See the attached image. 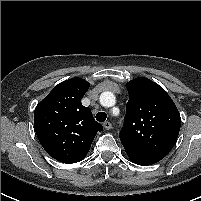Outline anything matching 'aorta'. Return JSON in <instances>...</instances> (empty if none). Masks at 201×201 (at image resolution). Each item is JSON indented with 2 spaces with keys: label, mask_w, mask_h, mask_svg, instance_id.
<instances>
[{
  "label": "aorta",
  "mask_w": 201,
  "mask_h": 201,
  "mask_svg": "<svg viewBox=\"0 0 201 201\" xmlns=\"http://www.w3.org/2000/svg\"><path fill=\"white\" fill-rule=\"evenodd\" d=\"M107 95H108V96H111V97L113 96L111 93H107Z\"/></svg>",
  "instance_id": "obj_1"
}]
</instances>
